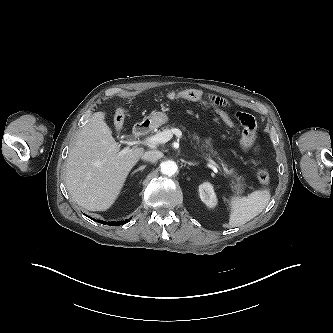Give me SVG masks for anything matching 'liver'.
Segmentation results:
<instances>
[{
    "mask_svg": "<svg viewBox=\"0 0 333 333\" xmlns=\"http://www.w3.org/2000/svg\"><path fill=\"white\" fill-rule=\"evenodd\" d=\"M143 148H124L112 136L104 112H95L69 152L65 181L72 199L89 211H106L118 198Z\"/></svg>",
    "mask_w": 333,
    "mask_h": 333,
    "instance_id": "6515ba94",
    "label": "liver"
}]
</instances>
